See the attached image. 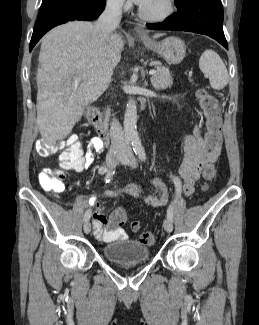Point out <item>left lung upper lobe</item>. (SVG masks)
I'll list each match as a JSON object with an SVG mask.
<instances>
[{
    "label": "left lung upper lobe",
    "mask_w": 259,
    "mask_h": 325,
    "mask_svg": "<svg viewBox=\"0 0 259 325\" xmlns=\"http://www.w3.org/2000/svg\"><path fill=\"white\" fill-rule=\"evenodd\" d=\"M176 2L181 1V0H175Z\"/></svg>",
    "instance_id": "1"
}]
</instances>
